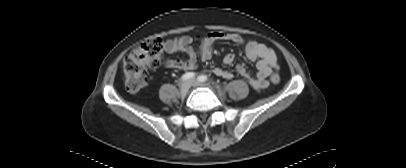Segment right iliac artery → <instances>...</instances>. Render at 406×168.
<instances>
[{
	"mask_svg": "<svg viewBox=\"0 0 406 168\" xmlns=\"http://www.w3.org/2000/svg\"><path fill=\"white\" fill-rule=\"evenodd\" d=\"M194 77H195V73H193V72H187V73H185V74L181 77V80H182V81H185V80L192 79V78H194Z\"/></svg>",
	"mask_w": 406,
	"mask_h": 168,
	"instance_id": "82829eb1",
	"label": "right iliac artery"
}]
</instances>
